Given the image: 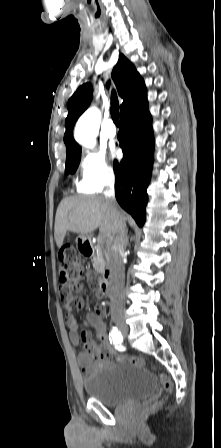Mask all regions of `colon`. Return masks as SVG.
Returning <instances> with one entry per match:
<instances>
[{"instance_id":"5ec220e1","label":"colon","mask_w":221,"mask_h":448,"mask_svg":"<svg viewBox=\"0 0 221 448\" xmlns=\"http://www.w3.org/2000/svg\"><path fill=\"white\" fill-rule=\"evenodd\" d=\"M82 276V269L80 261L76 255V251L72 246H65L61 249L59 254V284L62 291L67 289H76L79 286V281ZM124 361L142 366L147 364L144 359L141 358H123ZM155 369V367H152ZM160 381L166 390L171 389V382L168 380L165 374L159 375ZM157 407V404H152L144 410V414L153 411Z\"/></svg>"}]
</instances>
